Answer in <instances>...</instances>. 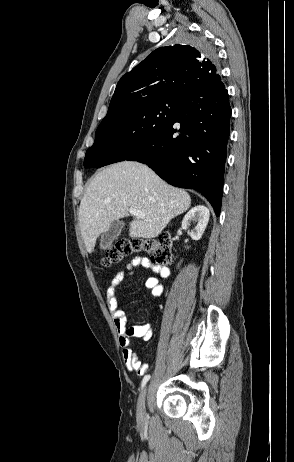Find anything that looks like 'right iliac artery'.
I'll use <instances>...</instances> for the list:
<instances>
[{"instance_id":"right-iliac-artery-1","label":"right iliac artery","mask_w":294,"mask_h":462,"mask_svg":"<svg viewBox=\"0 0 294 462\" xmlns=\"http://www.w3.org/2000/svg\"><path fill=\"white\" fill-rule=\"evenodd\" d=\"M150 375H145L143 380H142V384H141V389H143V387L146 385V383L149 381L150 379Z\"/></svg>"}]
</instances>
